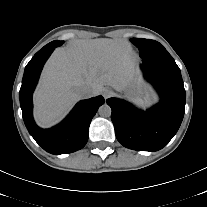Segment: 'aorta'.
I'll return each instance as SVG.
<instances>
[{
	"label": "aorta",
	"instance_id": "aorta-1",
	"mask_svg": "<svg viewBox=\"0 0 207 207\" xmlns=\"http://www.w3.org/2000/svg\"><path fill=\"white\" fill-rule=\"evenodd\" d=\"M111 112H112V110H111L110 106L107 104L101 105L98 109V113L102 117H110Z\"/></svg>",
	"mask_w": 207,
	"mask_h": 207
}]
</instances>
